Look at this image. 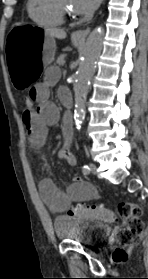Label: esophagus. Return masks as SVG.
I'll list each match as a JSON object with an SVG mask.
<instances>
[{"mask_svg":"<svg viewBox=\"0 0 148 279\" xmlns=\"http://www.w3.org/2000/svg\"><path fill=\"white\" fill-rule=\"evenodd\" d=\"M89 32H90V28H86L83 30H77V31L73 32V37L77 40L83 41V40H85V38L87 37Z\"/></svg>","mask_w":148,"mask_h":279,"instance_id":"esophagus-1","label":"esophagus"}]
</instances>
